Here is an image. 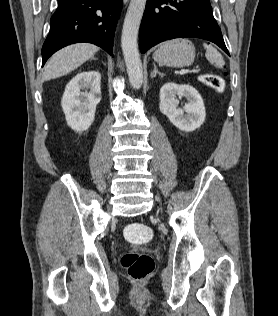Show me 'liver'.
Instances as JSON below:
<instances>
[{
	"label": "liver",
	"mask_w": 278,
	"mask_h": 316,
	"mask_svg": "<svg viewBox=\"0 0 278 316\" xmlns=\"http://www.w3.org/2000/svg\"><path fill=\"white\" fill-rule=\"evenodd\" d=\"M98 50L97 46L89 43H78L61 49L47 62L42 80L48 81L70 73L93 58Z\"/></svg>",
	"instance_id": "6515ba94"
}]
</instances>
